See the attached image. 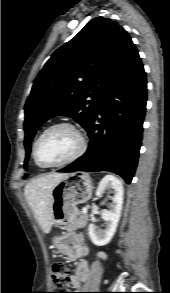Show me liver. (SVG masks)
Segmentation results:
<instances>
[{
  "label": "liver",
  "mask_w": 170,
  "mask_h": 293,
  "mask_svg": "<svg viewBox=\"0 0 170 293\" xmlns=\"http://www.w3.org/2000/svg\"><path fill=\"white\" fill-rule=\"evenodd\" d=\"M66 173H49L31 180L24 189L26 200L39 225L49 233L53 224L52 191Z\"/></svg>",
  "instance_id": "6515ba94"
}]
</instances>
